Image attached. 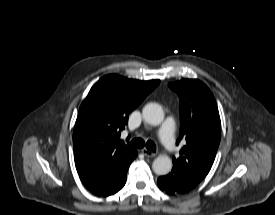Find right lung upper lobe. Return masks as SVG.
<instances>
[{"instance_id": "right-lung-upper-lobe-1", "label": "right lung upper lobe", "mask_w": 275, "mask_h": 215, "mask_svg": "<svg viewBox=\"0 0 275 215\" xmlns=\"http://www.w3.org/2000/svg\"><path fill=\"white\" fill-rule=\"evenodd\" d=\"M159 83L111 74L93 85L80 106L73 133L74 159L80 178L135 154L136 150L119 140L120 132L128 115Z\"/></svg>"}]
</instances>
